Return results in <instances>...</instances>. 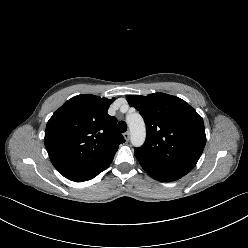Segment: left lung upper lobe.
<instances>
[{
  "label": "left lung upper lobe",
  "mask_w": 248,
  "mask_h": 248,
  "mask_svg": "<svg viewBox=\"0 0 248 248\" xmlns=\"http://www.w3.org/2000/svg\"><path fill=\"white\" fill-rule=\"evenodd\" d=\"M146 124L145 143L134 154L142 167L186 175L206 143L203 119L184 100L164 94L128 95Z\"/></svg>",
  "instance_id": "obj_1"
}]
</instances>
